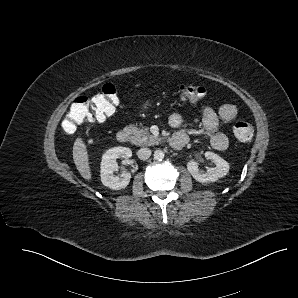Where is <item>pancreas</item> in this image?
Wrapping results in <instances>:
<instances>
[{"label":"pancreas","mask_w":298,"mask_h":298,"mask_svg":"<svg viewBox=\"0 0 298 298\" xmlns=\"http://www.w3.org/2000/svg\"><path fill=\"white\" fill-rule=\"evenodd\" d=\"M132 130L134 136L133 143L136 145L147 144L148 146L156 145L161 140L160 137L150 135L149 127L140 125L139 128L130 125L128 126Z\"/></svg>","instance_id":"cf45deb5"}]
</instances>
